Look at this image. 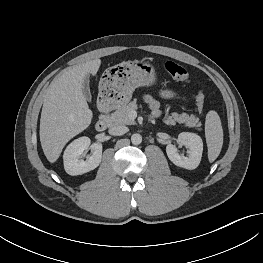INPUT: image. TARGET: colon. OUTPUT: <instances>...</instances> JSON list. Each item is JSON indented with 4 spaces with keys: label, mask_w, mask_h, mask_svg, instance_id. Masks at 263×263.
<instances>
[{
    "label": "colon",
    "mask_w": 263,
    "mask_h": 263,
    "mask_svg": "<svg viewBox=\"0 0 263 263\" xmlns=\"http://www.w3.org/2000/svg\"><path fill=\"white\" fill-rule=\"evenodd\" d=\"M165 69L168 72V74L177 81H182L186 83H190L192 81V78L188 71L184 67L173 61H167L165 63ZM196 102L198 108L200 110H203L205 105V95L202 90L197 91Z\"/></svg>",
    "instance_id": "colon-1"
}]
</instances>
